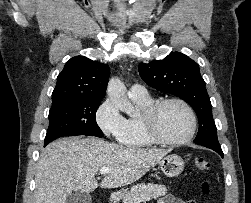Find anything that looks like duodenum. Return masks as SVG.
I'll return each instance as SVG.
<instances>
[{"instance_id": "410a0bca", "label": "duodenum", "mask_w": 251, "mask_h": 203, "mask_svg": "<svg viewBox=\"0 0 251 203\" xmlns=\"http://www.w3.org/2000/svg\"><path fill=\"white\" fill-rule=\"evenodd\" d=\"M120 197L119 193H113L110 200L112 202H116L118 200V198Z\"/></svg>"}]
</instances>
